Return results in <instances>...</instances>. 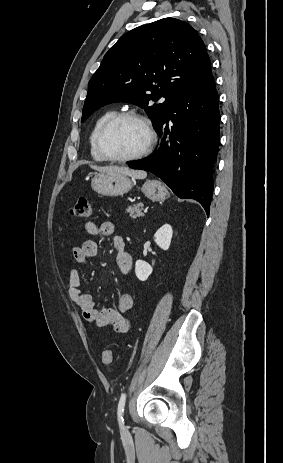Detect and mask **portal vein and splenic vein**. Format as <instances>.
I'll return each mask as SVG.
<instances>
[{
	"instance_id": "obj_1",
	"label": "portal vein and splenic vein",
	"mask_w": 283,
	"mask_h": 463,
	"mask_svg": "<svg viewBox=\"0 0 283 463\" xmlns=\"http://www.w3.org/2000/svg\"><path fill=\"white\" fill-rule=\"evenodd\" d=\"M146 212H147V209L144 210V213H146Z\"/></svg>"
}]
</instances>
